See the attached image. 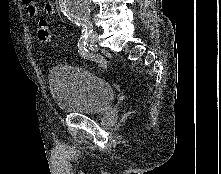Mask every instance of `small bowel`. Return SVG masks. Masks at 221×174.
Here are the masks:
<instances>
[{
    "instance_id": "obj_1",
    "label": "small bowel",
    "mask_w": 221,
    "mask_h": 174,
    "mask_svg": "<svg viewBox=\"0 0 221 174\" xmlns=\"http://www.w3.org/2000/svg\"><path fill=\"white\" fill-rule=\"evenodd\" d=\"M27 13L31 17H37L40 14L39 8L34 0H23ZM44 13L46 15H53L56 11L55 5L51 2H46L44 4Z\"/></svg>"
}]
</instances>
